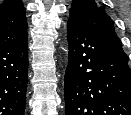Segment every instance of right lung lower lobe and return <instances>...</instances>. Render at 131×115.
<instances>
[{"mask_svg": "<svg viewBox=\"0 0 131 115\" xmlns=\"http://www.w3.org/2000/svg\"><path fill=\"white\" fill-rule=\"evenodd\" d=\"M28 77V38L0 48V115H24Z\"/></svg>", "mask_w": 131, "mask_h": 115, "instance_id": "right-lung-lower-lobe-1", "label": "right lung lower lobe"}]
</instances>
